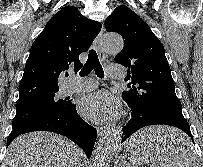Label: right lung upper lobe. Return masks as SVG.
I'll return each mask as SVG.
<instances>
[{
  "label": "right lung upper lobe",
  "mask_w": 203,
  "mask_h": 167,
  "mask_svg": "<svg viewBox=\"0 0 203 167\" xmlns=\"http://www.w3.org/2000/svg\"><path fill=\"white\" fill-rule=\"evenodd\" d=\"M100 30L99 22L84 17L76 7L57 12L32 44L17 104L58 91L59 76L69 68L81 67L79 55L91 46Z\"/></svg>",
  "instance_id": "obj_1"
}]
</instances>
